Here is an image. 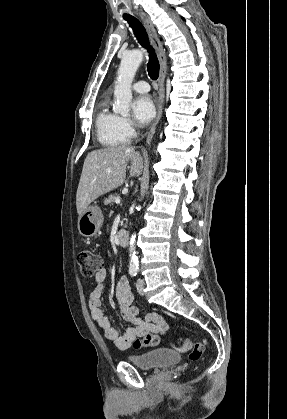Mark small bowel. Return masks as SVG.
<instances>
[{"label":"small bowel","mask_w":287,"mask_h":419,"mask_svg":"<svg viewBox=\"0 0 287 419\" xmlns=\"http://www.w3.org/2000/svg\"><path fill=\"white\" fill-rule=\"evenodd\" d=\"M106 277L105 269L96 273V286L89 296L88 304L92 318L97 322L107 339L112 341L117 348L125 350L131 347L136 339L147 334L166 332L168 325L162 315L148 313L144 317L139 316L138 310L133 306V295L129 283L124 277L120 278L116 285V309L122 319L131 326L122 333L114 328L102 309L101 294Z\"/></svg>","instance_id":"small-bowel-1"}]
</instances>
